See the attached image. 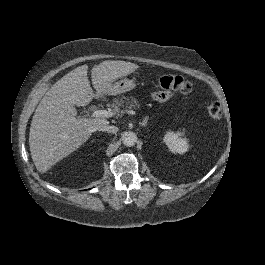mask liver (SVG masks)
I'll list each match as a JSON object with an SVG mask.
<instances>
[{"label":"liver","instance_id":"1","mask_svg":"<svg viewBox=\"0 0 265 265\" xmlns=\"http://www.w3.org/2000/svg\"><path fill=\"white\" fill-rule=\"evenodd\" d=\"M125 61H103L91 70L98 95L107 93L110 84L138 69ZM82 65L64 75L46 92L33 115L29 133L32 160L40 173L68 156L88 140L94 128L108 123L104 118L76 117L75 106L88 105L95 94Z\"/></svg>","mask_w":265,"mask_h":265}]
</instances>
